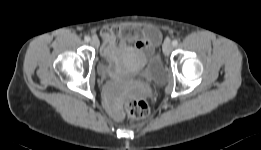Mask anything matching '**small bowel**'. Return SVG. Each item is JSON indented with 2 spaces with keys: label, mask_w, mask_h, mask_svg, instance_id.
<instances>
[{
  "label": "small bowel",
  "mask_w": 261,
  "mask_h": 150,
  "mask_svg": "<svg viewBox=\"0 0 261 150\" xmlns=\"http://www.w3.org/2000/svg\"><path fill=\"white\" fill-rule=\"evenodd\" d=\"M101 36L104 40L103 49L114 46L116 38L121 37L135 40V50L143 55L151 54L161 41V34L154 27H145L140 33L119 27L107 28L102 30Z\"/></svg>",
  "instance_id": "small-bowel-1"
}]
</instances>
